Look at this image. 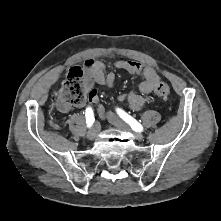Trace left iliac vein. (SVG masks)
Listing matches in <instances>:
<instances>
[{
  "instance_id": "4c4485c4",
  "label": "left iliac vein",
  "mask_w": 221,
  "mask_h": 221,
  "mask_svg": "<svg viewBox=\"0 0 221 221\" xmlns=\"http://www.w3.org/2000/svg\"><path fill=\"white\" fill-rule=\"evenodd\" d=\"M107 118L111 124H113L114 126L120 128V129H123L126 131L132 130L131 127L127 123L122 121L120 118H118L116 115H114L111 112L107 113ZM134 137L139 141L143 140V138H144L143 135L140 133H134Z\"/></svg>"
}]
</instances>
